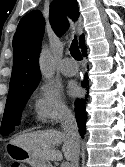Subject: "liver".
<instances>
[{
	"mask_svg": "<svg viewBox=\"0 0 125 167\" xmlns=\"http://www.w3.org/2000/svg\"><path fill=\"white\" fill-rule=\"evenodd\" d=\"M11 143L22 147L30 154L45 161H61L62 152L55 146L63 143L62 151L67 160L71 159L72 143L64 132L57 130L23 133L11 140Z\"/></svg>",
	"mask_w": 125,
	"mask_h": 167,
	"instance_id": "liver-1",
	"label": "liver"
}]
</instances>
